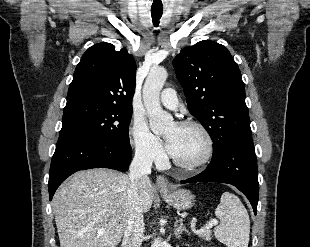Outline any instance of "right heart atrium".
Returning a JSON list of instances; mask_svg holds the SVG:
<instances>
[{
  "instance_id": "obj_1",
  "label": "right heart atrium",
  "mask_w": 310,
  "mask_h": 247,
  "mask_svg": "<svg viewBox=\"0 0 310 247\" xmlns=\"http://www.w3.org/2000/svg\"><path fill=\"white\" fill-rule=\"evenodd\" d=\"M130 138L138 157L149 163H161L164 153L159 139L142 118H135L130 126Z\"/></svg>"
}]
</instances>
